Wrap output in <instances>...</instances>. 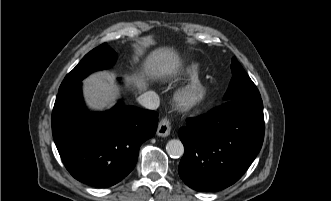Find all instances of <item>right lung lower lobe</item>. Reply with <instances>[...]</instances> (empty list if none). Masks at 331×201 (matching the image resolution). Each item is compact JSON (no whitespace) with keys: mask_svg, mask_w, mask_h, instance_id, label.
<instances>
[{"mask_svg":"<svg viewBox=\"0 0 331 201\" xmlns=\"http://www.w3.org/2000/svg\"><path fill=\"white\" fill-rule=\"evenodd\" d=\"M157 124L156 112L121 102L106 112H88L81 83L60 91L52 112L53 138L65 167L75 179L94 187H109L125 178Z\"/></svg>","mask_w":331,"mask_h":201,"instance_id":"1","label":"right lung lower lobe"}]
</instances>
